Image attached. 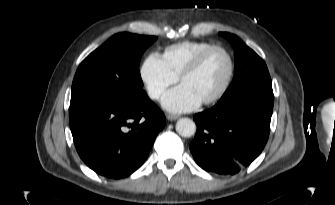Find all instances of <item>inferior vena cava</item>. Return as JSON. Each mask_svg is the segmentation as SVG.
Wrapping results in <instances>:
<instances>
[{
	"label": "inferior vena cava",
	"mask_w": 335,
	"mask_h": 205,
	"mask_svg": "<svg viewBox=\"0 0 335 205\" xmlns=\"http://www.w3.org/2000/svg\"><path fill=\"white\" fill-rule=\"evenodd\" d=\"M159 94H160L159 92H154V93L152 94V97H153V98H157V97L159 96Z\"/></svg>",
	"instance_id": "obj_1"
}]
</instances>
